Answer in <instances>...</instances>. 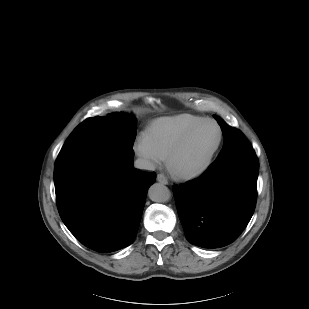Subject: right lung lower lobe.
Returning a JSON list of instances; mask_svg holds the SVG:
<instances>
[{
	"instance_id": "obj_1",
	"label": "right lung lower lobe",
	"mask_w": 309,
	"mask_h": 309,
	"mask_svg": "<svg viewBox=\"0 0 309 309\" xmlns=\"http://www.w3.org/2000/svg\"><path fill=\"white\" fill-rule=\"evenodd\" d=\"M132 148L94 143L54 169L62 221L86 247L113 252L133 243L155 174L132 167Z\"/></svg>"
}]
</instances>
